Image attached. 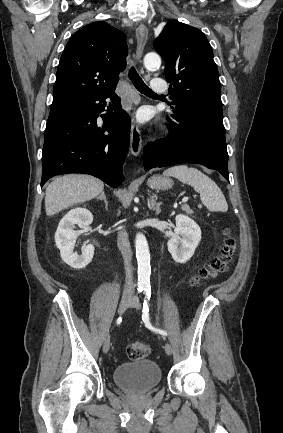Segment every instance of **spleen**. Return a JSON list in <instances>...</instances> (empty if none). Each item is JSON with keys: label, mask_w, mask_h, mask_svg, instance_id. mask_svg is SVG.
I'll use <instances>...</instances> for the list:
<instances>
[{"label": "spleen", "mask_w": 283, "mask_h": 433, "mask_svg": "<svg viewBox=\"0 0 283 433\" xmlns=\"http://www.w3.org/2000/svg\"><path fill=\"white\" fill-rule=\"evenodd\" d=\"M163 174L164 176H175L181 182L193 186L197 192H200L201 200L208 210H221V212L228 210V204L222 190L214 180H211L207 174H203L198 168H193V166L189 168L187 164H178V166L166 168Z\"/></svg>", "instance_id": "obj_1"}]
</instances>
